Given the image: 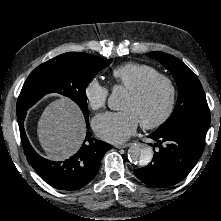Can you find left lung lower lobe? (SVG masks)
Wrapping results in <instances>:
<instances>
[{
	"label": "left lung lower lobe",
	"instance_id": "obj_1",
	"mask_svg": "<svg viewBox=\"0 0 221 221\" xmlns=\"http://www.w3.org/2000/svg\"><path fill=\"white\" fill-rule=\"evenodd\" d=\"M148 137L156 141L154 146L159 151H154L149 165L134 173L153 188L169 187L183 180L199 160L205 144V134L188 129L172 134L153 132Z\"/></svg>",
	"mask_w": 221,
	"mask_h": 221
}]
</instances>
